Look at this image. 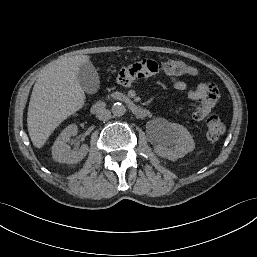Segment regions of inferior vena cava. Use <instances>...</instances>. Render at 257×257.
<instances>
[{
  "label": "inferior vena cava",
  "mask_w": 257,
  "mask_h": 257,
  "mask_svg": "<svg viewBox=\"0 0 257 257\" xmlns=\"http://www.w3.org/2000/svg\"><path fill=\"white\" fill-rule=\"evenodd\" d=\"M110 116L111 112L108 109H100L96 114V117L102 121L108 120Z\"/></svg>",
  "instance_id": "1"
}]
</instances>
